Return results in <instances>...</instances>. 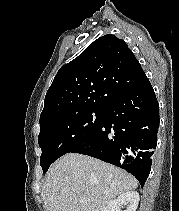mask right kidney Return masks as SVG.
<instances>
[{
    "instance_id": "obj_1",
    "label": "right kidney",
    "mask_w": 179,
    "mask_h": 211,
    "mask_svg": "<svg viewBox=\"0 0 179 211\" xmlns=\"http://www.w3.org/2000/svg\"><path fill=\"white\" fill-rule=\"evenodd\" d=\"M139 194L136 191H128L119 195L115 200L111 201L104 211H120L123 205H127L125 211H136L139 204Z\"/></svg>"
}]
</instances>
